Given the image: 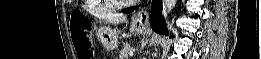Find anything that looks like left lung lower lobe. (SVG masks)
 Wrapping results in <instances>:
<instances>
[{"instance_id":"obj_1","label":"left lung lower lobe","mask_w":261,"mask_h":59,"mask_svg":"<svg viewBox=\"0 0 261 59\" xmlns=\"http://www.w3.org/2000/svg\"><path fill=\"white\" fill-rule=\"evenodd\" d=\"M135 7H130L123 9V13L133 12ZM162 12V2L161 0H152L151 5V27L152 29L159 34H167V29L165 27L164 18L161 15Z\"/></svg>"}]
</instances>
